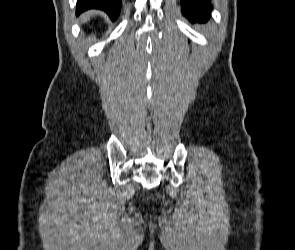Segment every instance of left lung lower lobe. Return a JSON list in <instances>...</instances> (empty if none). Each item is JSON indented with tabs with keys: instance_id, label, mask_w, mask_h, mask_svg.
<instances>
[{
	"instance_id": "left-lung-lower-lobe-1",
	"label": "left lung lower lobe",
	"mask_w": 295,
	"mask_h": 250,
	"mask_svg": "<svg viewBox=\"0 0 295 250\" xmlns=\"http://www.w3.org/2000/svg\"><path fill=\"white\" fill-rule=\"evenodd\" d=\"M182 11L190 20H203L210 16L211 0H181Z\"/></svg>"
}]
</instances>
